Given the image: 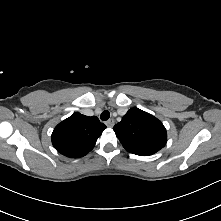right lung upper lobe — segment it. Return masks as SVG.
<instances>
[{
    "label": "right lung upper lobe",
    "mask_w": 221,
    "mask_h": 221,
    "mask_svg": "<svg viewBox=\"0 0 221 221\" xmlns=\"http://www.w3.org/2000/svg\"><path fill=\"white\" fill-rule=\"evenodd\" d=\"M106 126L96 116L74 113L59 123L52 133V144L70 158L85 156L91 151Z\"/></svg>",
    "instance_id": "1"
}]
</instances>
